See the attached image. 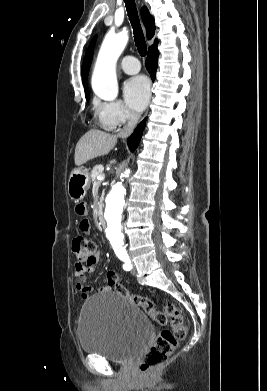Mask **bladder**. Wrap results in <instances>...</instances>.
<instances>
[{
	"mask_svg": "<svg viewBox=\"0 0 267 391\" xmlns=\"http://www.w3.org/2000/svg\"><path fill=\"white\" fill-rule=\"evenodd\" d=\"M151 334L147 316L116 292L95 295L81 308L78 338L85 353L124 363L144 349Z\"/></svg>",
	"mask_w": 267,
	"mask_h": 391,
	"instance_id": "bladder-1",
	"label": "bladder"
}]
</instances>
